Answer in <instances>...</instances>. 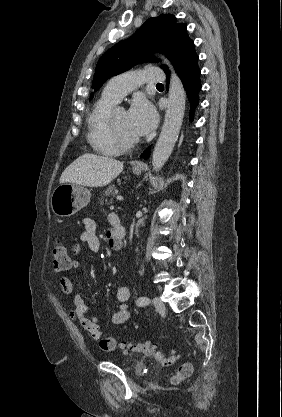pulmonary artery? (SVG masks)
<instances>
[{
    "label": "pulmonary artery",
    "mask_w": 282,
    "mask_h": 417,
    "mask_svg": "<svg viewBox=\"0 0 282 417\" xmlns=\"http://www.w3.org/2000/svg\"><path fill=\"white\" fill-rule=\"evenodd\" d=\"M142 72L141 70H130L128 73L112 78L104 88L102 95L119 102L141 83H166L167 81L166 74H161V65H144Z\"/></svg>",
    "instance_id": "e3ab8cb5"
}]
</instances>
